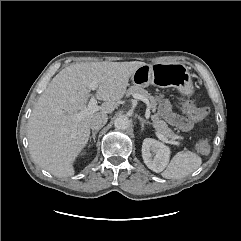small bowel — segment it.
Returning <instances> with one entry per match:
<instances>
[{
  "mask_svg": "<svg viewBox=\"0 0 241 241\" xmlns=\"http://www.w3.org/2000/svg\"><path fill=\"white\" fill-rule=\"evenodd\" d=\"M158 111L160 115L171 125L178 129L187 132L191 130L192 123L186 118L178 115L173 111L171 103L166 100L162 95L157 96Z\"/></svg>",
  "mask_w": 241,
  "mask_h": 241,
  "instance_id": "obj_1",
  "label": "small bowel"
}]
</instances>
